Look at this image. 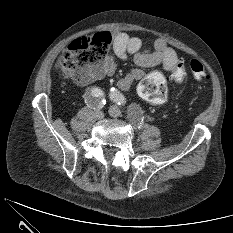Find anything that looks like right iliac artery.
<instances>
[{"label": "right iliac artery", "mask_w": 233, "mask_h": 233, "mask_svg": "<svg viewBox=\"0 0 233 233\" xmlns=\"http://www.w3.org/2000/svg\"><path fill=\"white\" fill-rule=\"evenodd\" d=\"M86 103L94 109H100L105 104L103 91L99 88H92L85 94Z\"/></svg>", "instance_id": "1"}]
</instances>
